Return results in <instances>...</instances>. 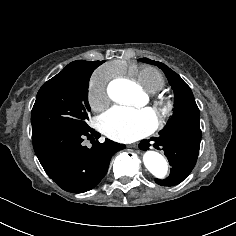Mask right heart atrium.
<instances>
[{"label":"right heart atrium","instance_id":"1","mask_svg":"<svg viewBox=\"0 0 236 236\" xmlns=\"http://www.w3.org/2000/svg\"><path fill=\"white\" fill-rule=\"evenodd\" d=\"M113 73L108 67L97 69L89 82V101L98 110L105 109L110 104L109 85Z\"/></svg>","mask_w":236,"mask_h":236}]
</instances>
